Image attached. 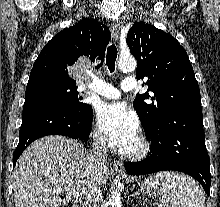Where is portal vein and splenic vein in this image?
Here are the masks:
<instances>
[{"label":"portal vein and splenic vein","mask_w":220,"mask_h":207,"mask_svg":"<svg viewBox=\"0 0 220 207\" xmlns=\"http://www.w3.org/2000/svg\"><path fill=\"white\" fill-rule=\"evenodd\" d=\"M65 190L62 188H57L56 193H63ZM168 207V206H167Z\"/></svg>","instance_id":"obj_1"}]
</instances>
